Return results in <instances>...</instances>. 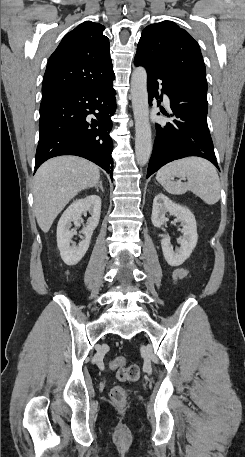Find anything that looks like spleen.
<instances>
[{
    "instance_id": "3e777b00",
    "label": "spleen",
    "mask_w": 245,
    "mask_h": 457,
    "mask_svg": "<svg viewBox=\"0 0 245 457\" xmlns=\"http://www.w3.org/2000/svg\"><path fill=\"white\" fill-rule=\"evenodd\" d=\"M171 176H186L187 182L172 180ZM156 178L171 194H184L187 190L200 196L207 204H215L221 196L220 178L217 168L200 156H187L162 166Z\"/></svg>"
}]
</instances>
